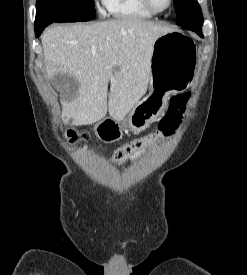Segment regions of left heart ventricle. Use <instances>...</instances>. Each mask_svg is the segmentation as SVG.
Wrapping results in <instances>:
<instances>
[{"label":"left heart ventricle","mask_w":247,"mask_h":275,"mask_svg":"<svg viewBox=\"0 0 247 275\" xmlns=\"http://www.w3.org/2000/svg\"><path fill=\"white\" fill-rule=\"evenodd\" d=\"M168 1L169 0H151L153 6L159 10L165 9L168 6Z\"/></svg>","instance_id":"b2bd125f"}]
</instances>
